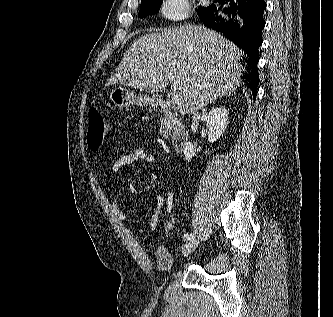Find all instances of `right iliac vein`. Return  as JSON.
<instances>
[{
  "label": "right iliac vein",
  "mask_w": 333,
  "mask_h": 317,
  "mask_svg": "<svg viewBox=\"0 0 333 317\" xmlns=\"http://www.w3.org/2000/svg\"><path fill=\"white\" fill-rule=\"evenodd\" d=\"M198 245H199L198 240L193 239V240L189 241L183 247L182 255L184 257L188 256L189 254H191L197 248Z\"/></svg>",
  "instance_id": "63e3f726"
}]
</instances>
